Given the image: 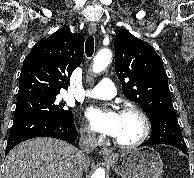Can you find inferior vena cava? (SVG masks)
<instances>
[{
  "mask_svg": "<svg viewBox=\"0 0 194 178\" xmlns=\"http://www.w3.org/2000/svg\"><path fill=\"white\" fill-rule=\"evenodd\" d=\"M80 154H81V161L76 169L73 178H83V169L85 162L87 161L86 154L91 153L97 147V140L95 134L88 131V130H81L80 132Z\"/></svg>",
  "mask_w": 194,
  "mask_h": 178,
  "instance_id": "602c4592",
  "label": "inferior vena cava"
}]
</instances>
